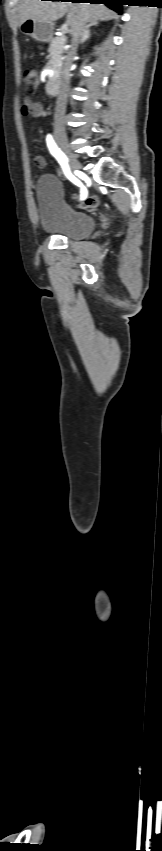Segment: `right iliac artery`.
I'll return each instance as SVG.
<instances>
[{
	"mask_svg": "<svg viewBox=\"0 0 162 851\" xmlns=\"http://www.w3.org/2000/svg\"><path fill=\"white\" fill-rule=\"evenodd\" d=\"M46 143L49 148L50 153L56 158L58 163L60 164L65 176L70 180V183L80 188L83 185V182L80 179H76V176H73L70 172V168L68 166V160L65 154L60 150V148L56 145L51 135H47ZM82 199L86 196V189H81Z\"/></svg>",
	"mask_w": 162,
	"mask_h": 851,
	"instance_id": "obj_1",
	"label": "right iliac artery"
}]
</instances>
